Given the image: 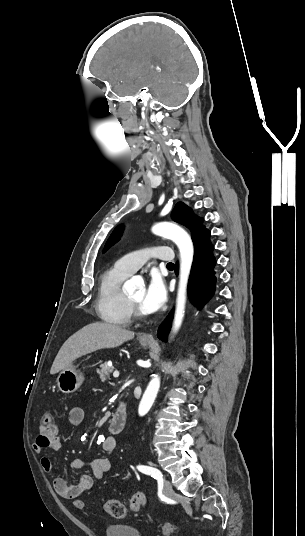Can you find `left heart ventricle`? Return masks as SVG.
Here are the masks:
<instances>
[{"mask_svg": "<svg viewBox=\"0 0 305 536\" xmlns=\"http://www.w3.org/2000/svg\"><path fill=\"white\" fill-rule=\"evenodd\" d=\"M143 295H144V290L143 288H140L134 292H132L131 294L127 295L130 297V299L135 302L136 304H138L140 306L141 304V301H142V298H143ZM141 307V306H140Z\"/></svg>", "mask_w": 305, "mask_h": 536, "instance_id": "obj_1", "label": "left heart ventricle"}]
</instances>
